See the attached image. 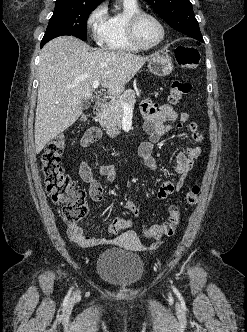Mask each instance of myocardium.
Returning a JSON list of instances; mask_svg holds the SVG:
<instances>
[{
	"label": "myocardium",
	"instance_id": "f54148a6",
	"mask_svg": "<svg viewBox=\"0 0 247 332\" xmlns=\"http://www.w3.org/2000/svg\"><path fill=\"white\" fill-rule=\"evenodd\" d=\"M144 17L153 18L161 28V38L151 45L142 44L137 37V26L140 20ZM127 36L132 45L139 50H149L159 46L166 37V29L163 21L154 13L148 11H139L130 16L127 22Z\"/></svg>",
	"mask_w": 247,
	"mask_h": 332
}]
</instances>
